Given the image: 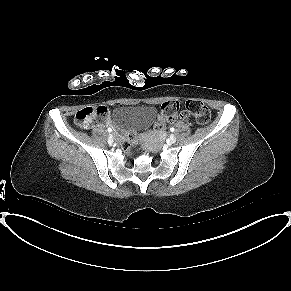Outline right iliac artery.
<instances>
[{"label": "right iliac artery", "instance_id": "1", "mask_svg": "<svg viewBox=\"0 0 291 291\" xmlns=\"http://www.w3.org/2000/svg\"><path fill=\"white\" fill-rule=\"evenodd\" d=\"M112 131V129L111 128H108V132H111Z\"/></svg>", "mask_w": 291, "mask_h": 291}]
</instances>
